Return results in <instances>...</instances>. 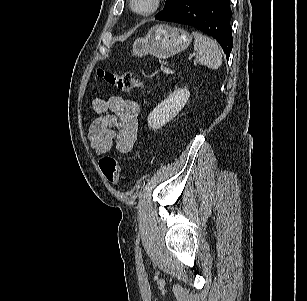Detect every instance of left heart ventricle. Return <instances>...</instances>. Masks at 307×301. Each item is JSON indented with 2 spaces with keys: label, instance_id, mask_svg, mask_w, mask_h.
Instances as JSON below:
<instances>
[{
  "label": "left heart ventricle",
  "instance_id": "left-heart-ventricle-1",
  "mask_svg": "<svg viewBox=\"0 0 307 301\" xmlns=\"http://www.w3.org/2000/svg\"><path fill=\"white\" fill-rule=\"evenodd\" d=\"M153 0H135V8L139 11H146L152 6Z\"/></svg>",
  "mask_w": 307,
  "mask_h": 301
}]
</instances>
